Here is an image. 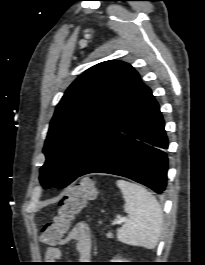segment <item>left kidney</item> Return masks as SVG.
I'll list each match as a JSON object with an SVG mask.
<instances>
[{"label":"left kidney","instance_id":"obj_1","mask_svg":"<svg viewBox=\"0 0 205 265\" xmlns=\"http://www.w3.org/2000/svg\"><path fill=\"white\" fill-rule=\"evenodd\" d=\"M117 261H118V262H121V260H116V262H117Z\"/></svg>","mask_w":205,"mask_h":265}]
</instances>
